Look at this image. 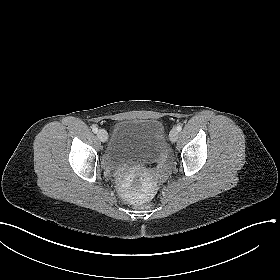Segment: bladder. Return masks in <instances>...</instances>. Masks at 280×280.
I'll return each instance as SVG.
<instances>
[{
  "instance_id": "bladder-1",
  "label": "bladder",
  "mask_w": 280,
  "mask_h": 280,
  "mask_svg": "<svg viewBox=\"0 0 280 280\" xmlns=\"http://www.w3.org/2000/svg\"><path fill=\"white\" fill-rule=\"evenodd\" d=\"M163 123L154 118H126L115 123L107 153L116 160L153 162L166 152Z\"/></svg>"
}]
</instances>
